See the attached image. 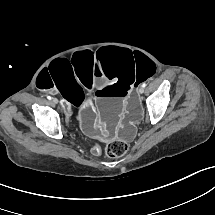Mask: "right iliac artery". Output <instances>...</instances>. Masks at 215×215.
I'll return each instance as SVG.
<instances>
[{"label":"right iliac artery","mask_w":215,"mask_h":215,"mask_svg":"<svg viewBox=\"0 0 215 215\" xmlns=\"http://www.w3.org/2000/svg\"><path fill=\"white\" fill-rule=\"evenodd\" d=\"M47 98H48L49 100H51V97H50V96H47Z\"/></svg>","instance_id":"right-iliac-artery-1"}]
</instances>
